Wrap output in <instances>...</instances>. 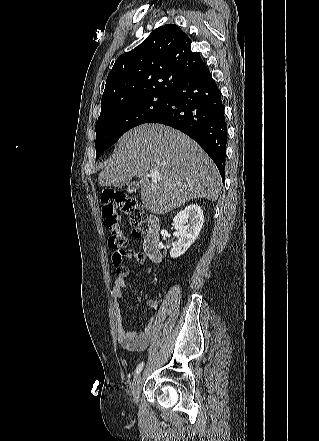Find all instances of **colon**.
I'll use <instances>...</instances> for the list:
<instances>
[{
	"label": "colon",
	"mask_w": 319,
	"mask_h": 441,
	"mask_svg": "<svg viewBox=\"0 0 319 441\" xmlns=\"http://www.w3.org/2000/svg\"><path fill=\"white\" fill-rule=\"evenodd\" d=\"M103 225L109 230L108 245L113 250V263L118 265L126 256L127 237L119 225L120 210L128 218L136 237L141 236L145 222L144 210L137 201L123 192L108 190L101 197Z\"/></svg>",
	"instance_id": "1"
}]
</instances>
